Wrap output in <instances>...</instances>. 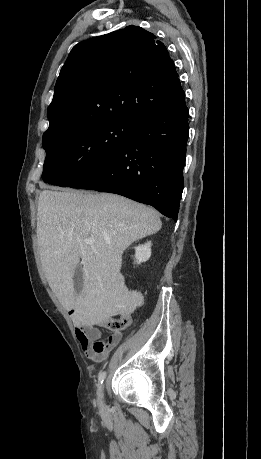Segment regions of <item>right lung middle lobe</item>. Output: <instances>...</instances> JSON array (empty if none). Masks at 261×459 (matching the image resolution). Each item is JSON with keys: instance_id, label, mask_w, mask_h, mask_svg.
Here are the masks:
<instances>
[{"instance_id": "right-lung-middle-lobe-1", "label": "right lung middle lobe", "mask_w": 261, "mask_h": 459, "mask_svg": "<svg viewBox=\"0 0 261 459\" xmlns=\"http://www.w3.org/2000/svg\"><path fill=\"white\" fill-rule=\"evenodd\" d=\"M138 124L131 120H114L76 133L44 134V182L62 187L73 185L117 154Z\"/></svg>"}]
</instances>
